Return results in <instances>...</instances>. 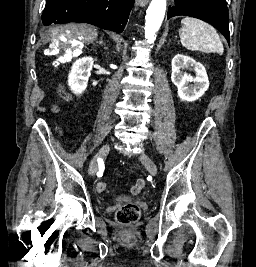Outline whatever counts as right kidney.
<instances>
[{"mask_svg":"<svg viewBox=\"0 0 256 267\" xmlns=\"http://www.w3.org/2000/svg\"><path fill=\"white\" fill-rule=\"evenodd\" d=\"M93 62V58H80L74 62L68 76V86L74 94H82L86 90Z\"/></svg>","mask_w":256,"mask_h":267,"instance_id":"obj_1","label":"right kidney"}]
</instances>
